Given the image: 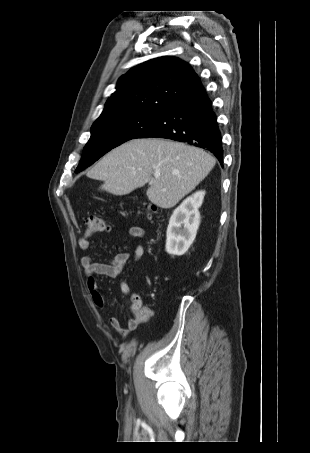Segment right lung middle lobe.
<instances>
[{
	"label": "right lung middle lobe",
	"instance_id": "right-lung-middle-lobe-1",
	"mask_svg": "<svg viewBox=\"0 0 310 453\" xmlns=\"http://www.w3.org/2000/svg\"><path fill=\"white\" fill-rule=\"evenodd\" d=\"M161 113H119L98 118L92 125L91 137L85 145L76 173L84 170L116 146L137 138Z\"/></svg>",
	"mask_w": 310,
	"mask_h": 453
}]
</instances>
